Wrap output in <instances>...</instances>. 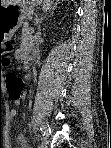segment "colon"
<instances>
[{
    "instance_id": "5ec220e1",
    "label": "colon",
    "mask_w": 111,
    "mask_h": 148,
    "mask_svg": "<svg viewBox=\"0 0 111 148\" xmlns=\"http://www.w3.org/2000/svg\"><path fill=\"white\" fill-rule=\"evenodd\" d=\"M13 61V58L7 56L2 64L6 67ZM3 79L7 89L8 97L11 101H17L21 97L22 81L21 78L12 70L3 72Z\"/></svg>"
}]
</instances>
